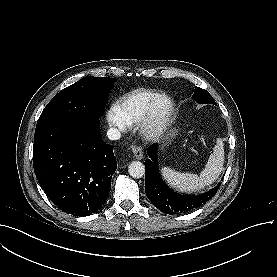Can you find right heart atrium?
I'll list each match as a JSON object with an SVG mask.
<instances>
[{
  "instance_id": "obj_1",
  "label": "right heart atrium",
  "mask_w": 277,
  "mask_h": 277,
  "mask_svg": "<svg viewBox=\"0 0 277 277\" xmlns=\"http://www.w3.org/2000/svg\"><path fill=\"white\" fill-rule=\"evenodd\" d=\"M107 121L109 125L118 130H124L126 128V124L115 106H112L107 112Z\"/></svg>"
}]
</instances>
